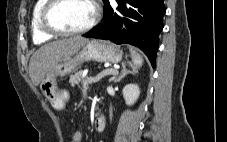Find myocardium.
<instances>
[{"label":"myocardium","mask_w":227,"mask_h":142,"mask_svg":"<svg viewBox=\"0 0 227 142\" xmlns=\"http://www.w3.org/2000/svg\"><path fill=\"white\" fill-rule=\"evenodd\" d=\"M64 1L65 0H47L46 4L43 6L40 13V23L45 32L57 36L78 35L91 30L98 23L100 16L99 6L95 0H90L93 6V17L87 25L74 30H65L57 27L53 23L51 16L54 9Z\"/></svg>","instance_id":"obj_1"}]
</instances>
